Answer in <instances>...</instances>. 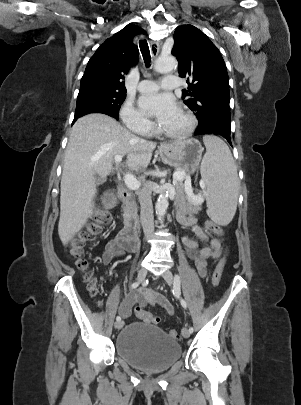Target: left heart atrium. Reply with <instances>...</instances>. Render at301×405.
Wrapping results in <instances>:
<instances>
[{
	"label": "left heart atrium",
	"instance_id": "39dd6f15",
	"mask_svg": "<svg viewBox=\"0 0 301 405\" xmlns=\"http://www.w3.org/2000/svg\"><path fill=\"white\" fill-rule=\"evenodd\" d=\"M138 105L142 112L154 116L160 125L181 113L177 101L168 93L143 95L140 97Z\"/></svg>",
	"mask_w": 301,
	"mask_h": 405
}]
</instances>
